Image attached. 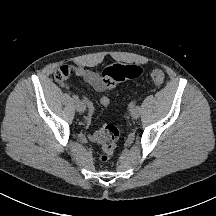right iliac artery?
<instances>
[{
	"instance_id": "82829eb1",
	"label": "right iliac artery",
	"mask_w": 216,
	"mask_h": 216,
	"mask_svg": "<svg viewBox=\"0 0 216 216\" xmlns=\"http://www.w3.org/2000/svg\"><path fill=\"white\" fill-rule=\"evenodd\" d=\"M73 100H74L75 102L79 101L78 96H77V95H73Z\"/></svg>"
}]
</instances>
